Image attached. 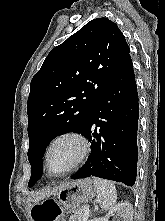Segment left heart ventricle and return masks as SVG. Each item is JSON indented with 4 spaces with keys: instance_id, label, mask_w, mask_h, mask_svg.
<instances>
[{
    "instance_id": "b2bd125f",
    "label": "left heart ventricle",
    "mask_w": 165,
    "mask_h": 221,
    "mask_svg": "<svg viewBox=\"0 0 165 221\" xmlns=\"http://www.w3.org/2000/svg\"><path fill=\"white\" fill-rule=\"evenodd\" d=\"M80 146L71 138L57 142L49 153V164L54 172H61L71 167L79 156Z\"/></svg>"
}]
</instances>
